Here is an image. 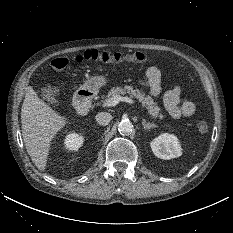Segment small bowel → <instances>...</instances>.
<instances>
[{
  "mask_svg": "<svg viewBox=\"0 0 233 233\" xmlns=\"http://www.w3.org/2000/svg\"><path fill=\"white\" fill-rule=\"evenodd\" d=\"M140 82L149 88L152 96L156 97L161 93V73L157 67H149ZM163 100L167 111L173 118L192 116L196 110L192 101L181 96L177 85L164 94Z\"/></svg>",
  "mask_w": 233,
  "mask_h": 233,
  "instance_id": "1",
  "label": "small bowel"
}]
</instances>
